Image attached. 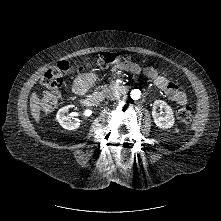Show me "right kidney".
I'll return each instance as SVG.
<instances>
[{
    "mask_svg": "<svg viewBox=\"0 0 221 221\" xmlns=\"http://www.w3.org/2000/svg\"><path fill=\"white\" fill-rule=\"evenodd\" d=\"M73 107H75V106L68 105V106L62 107L57 112L56 119L64 129L75 130V129L79 128V126H80L79 122L72 121L65 114L70 108H73Z\"/></svg>",
    "mask_w": 221,
    "mask_h": 221,
    "instance_id": "right-kidney-1",
    "label": "right kidney"
}]
</instances>
